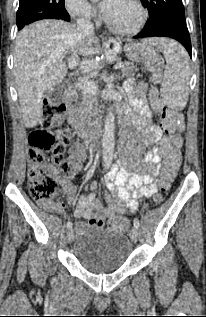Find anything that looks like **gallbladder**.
Instances as JSON below:
<instances>
[{
  "label": "gallbladder",
  "mask_w": 206,
  "mask_h": 317,
  "mask_svg": "<svg viewBox=\"0 0 206 317\" xmlns=\"http://www.w3.org/2000/svg\"><path fill=\"white\" fill-rule=\"evenodd\" d=\"M68 88H69V84L66 82H62L56 85L55 87H53L46 94L48 103L53 106H57L60 103H62Z\"/></svg>",
  "instance_id": "bac80fb5"
}]
</instances>
